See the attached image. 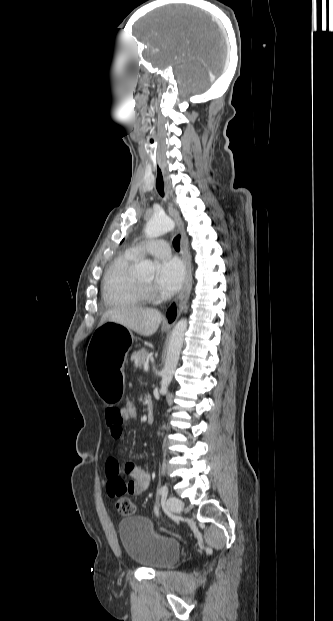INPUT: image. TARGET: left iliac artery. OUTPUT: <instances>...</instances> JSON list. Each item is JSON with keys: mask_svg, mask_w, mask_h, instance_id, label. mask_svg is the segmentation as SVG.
<instances>
[{"mask_svg": "<svg viewBox=\"0 0 333 621\" xmlns=\"http://www.w3.org/2000/svg\"><path fill=\"white\" fill-rule=\"evenodd\" d=\"M158 495L166 496L168 494V488L166 485H163L158 490ZM155 513L158 515V508L155 506Z\"/></svg>", "mask_w": 333, "mask_h": 621, "instance_id": "left-iliac-artery-1", "label": "left iliac artery"}]
</instances>
